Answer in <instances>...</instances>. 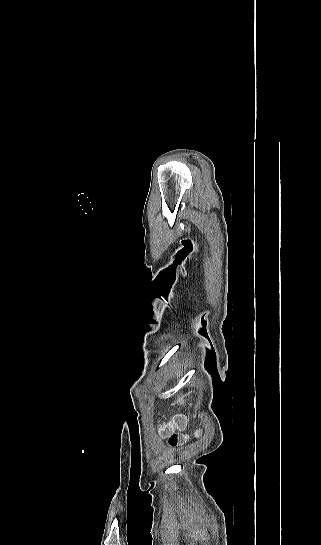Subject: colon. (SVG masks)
Returning <instances> with one entry per match:
<instances>
[{"instance_id": "1", "label": "colon", "mask_w": 321, "mask_h": 545, "mask_svg": "<svg viewBox=\"0 0 321 545\" xmlns=\"http://www.w3.org/2000/svg\"><path fill=\"white\" fill-rule=\"evenodd\" d=\"M185 424V419L182 416H175L169 422H164L159 426L161 436L168 439L170 446L177 447L186 442L187 437L176 430H180Z\"/></svg>"}]
</instances>
